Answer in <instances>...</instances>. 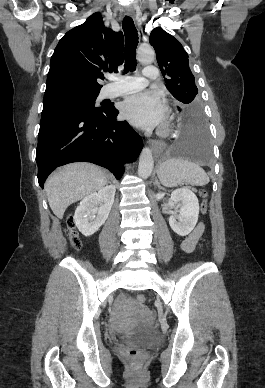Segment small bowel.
I'll return each mask as SVG.
<instances>
[{
	"instance_id": "small-bowel-1",
	"label": "small bowel",
	"mask_w": 265,
	"mask_h": 388,
	"mask_svg": "<svg viewBox=\"0 0 265 388\" xmlns=\"http://www.w3.org/2000/svg\"><path fill=\"white\" fill-rule=\"evenodd\" d=\"M204 231V225L202 223H198L194 230L190 233V235L184 239L181 244V248L184 252L190 253L194 250L199 238L201 237Z\"/></svg>"
}]
</instances>
